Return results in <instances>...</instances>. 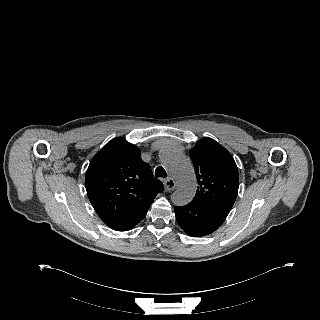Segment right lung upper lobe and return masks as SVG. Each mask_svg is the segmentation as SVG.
Segmentation results:
<instances>
[{
	"label": "right lung upper lobe",
	"mask_w": 320,
	"mask_h": 320,
	"mask_svg": "<svg viewBox=\"0 0 320 320\" xmlns=\"http://www.w3.org/2000/svg\"><path fill=\"white\" fill-rule=\"evenodd\" d=\"M89 200L105 222L147 211L163 191L140 150L122 137L107 143L91 160L85 177Z\"/></svg>",
	"instance_id": "obj_1"
}]
</instances>
